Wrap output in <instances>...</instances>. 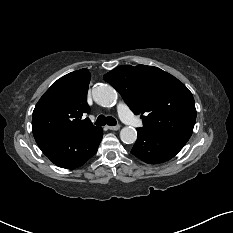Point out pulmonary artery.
I'll return each mask as SVG.
<instances>
[{"label": "pulmonary artery", "instance_id": "e3ab8cb5", "mask_svg": "<svg viewBox=\"0 0 233 233\" xmlns=\"http://www.w3.org/2000/svg\"><path fill=\"white\" fill-rule=\"evenodd\" d=\"M118 114H119L120 118L126 124H128L130 126L139 127L142 125V122L138 118L133 116L129 107L124 103H121L118 105Z\"/></svg>", "mask_w": 233, "mask_h": 233}]
</instances>
